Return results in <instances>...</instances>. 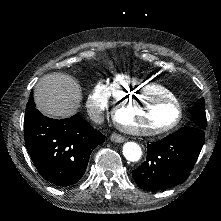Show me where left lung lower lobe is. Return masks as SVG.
<instances>
[{"label": "left lung lower lobe", "mask_w": 221, "mask_h": 221, "mask_svg": "<svg viewBox=\"0 0 221 221\" xmlns=\"http://www.w3.org/2000/svg\"><path fill=\"white\" fill-rule=\"evenodd\" d=\"M204 139V128L192 126L148 143L146 161L132 172L135 182L147 191L164 190L183 183L196 163Z\"/></svg>", "instance_id": "1"}]
</instances>
